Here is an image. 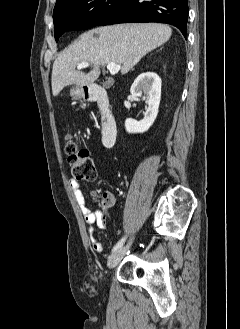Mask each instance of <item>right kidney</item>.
Wrapping results in <instances>:
<instances>
[{"label":"right kidney","mask_w":240,"mask_h":329,"mask_svg":"<svg viewBox=\"0 0 240 329\" xmlns=\"http://www.w3.org/2000/svg\"><path fill=\"white\" fill-rule=\"evenodd\" d=\"M161 83L160 77L153 72L142 73L135 79L130 92L133 96L142 98L148 108L141 121L126 119L125 129L128 133H143L154 123L161 99Z\"/></svg>","instance_id":"1"}]
</instances>
